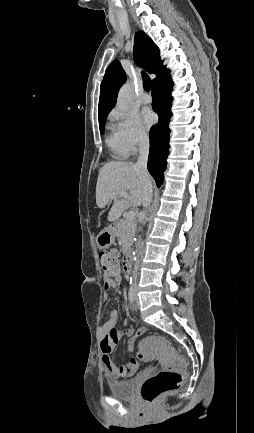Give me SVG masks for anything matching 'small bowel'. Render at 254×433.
I'll return each mask as SVG.
<instances>
[{
    "instance_id": "small-bowel-1",
    "label": "small bowel",
    "mask_w": 254,
    "mask_h": 433,
    "mask_svg": "<svg viewBox=\"0 0 254 433\" xmlns=\"http://www.w3.org/2000/svg\"><path fill=\"white\" fill-rule=\"evenodd\" d=\"M119 283V275L114 277V279L106 276L104 280V290H109L111 287H117ZM118 319L119 312L117 310H111L108 314L106 322L100 329V333L102 334V339L100 343L101 350L103 352L102 359L107 371L112 378L128 379L132 377L137 371L139 367L138 359L131 358L127 364L118 366L113 362L111 355L120 340L124 337H129L126 343V351L131 352L134 347V342L142 335L140 330H144L139 329L136 332H133L130 328L119 330L116 328Z\"/></svg>"
}]
</instances>
